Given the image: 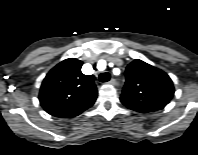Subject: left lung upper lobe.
I'll return each instance as SVG.
<instances>
[{
  "mask_svg": "<svg viewBox=\"0 0 198 155\" xmlns=\"http://www.w3.org/2000/svg\"><path fill=\"white\" fill-rule=\"evenodd\" d=\"M126 83L121 102L137 112L163 109L174 95L170 77L162 70L141 60H134L126 68Z\"/></svg>",
  "mask_w": 198,
  "mask_h": 155,
  "instance_id": "obj_1",
  "label": "left lung upper lobe"
}]
</instances>
